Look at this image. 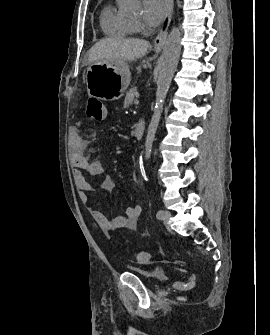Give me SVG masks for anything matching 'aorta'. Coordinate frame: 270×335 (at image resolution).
<instances>
[{"label":"aorta","mask_w":270,"mask_h":335,"mask_svg":"<svg viewBox=\"0 0 270 335\" xmlns=\"http://www.w3.org/2000/svg\"><path fill=\"white\" fill-rule=\"evenodd\" d=\"M181 34L180 28H172L163 48V54L160 58L159 72L157 78L156 102L154 114L151 118L147 136L145 140V158L149 160L155 134L157 132L160 116L163 110V104L167 96V92L172 82L173 74L177 68L180 52H181Z\"/></svg>","instance_id":"1"}]
</instances>
